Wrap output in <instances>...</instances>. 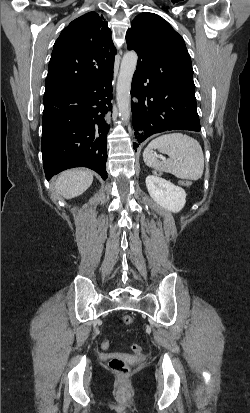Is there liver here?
I'll use <instances>...</instances> for the list:
<instances>
[{
  "label": "liver",
  "instance_id": "6515ba94",
  "mask_svg": "<svg viewBox=\"0 0 250 413\" xmlns=\"http://www.w3.org/2000/svg\"><path fill=\"white\" fill-rule=\"evenodd\" d=\"M93 174L87 169H70L62 172L56 182L55 189L66 199L83 194L92 184Z\"/></svg>",
  "mask_w": 250,
  "mask_h": 413
}]
</instances>
